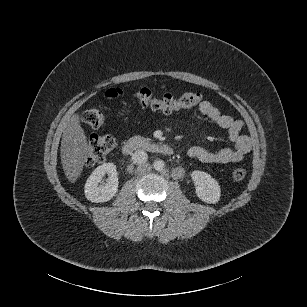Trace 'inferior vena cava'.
Instances as JSON below:
<instances>
[{"label": "inferior vena cava", "instance_id": "1", "mask_svg": "<svg viewBox=\"0 0 307 307\" xmlns=\"http://www.w3.org/2000/svg\"><path fill=\"white\" fill-rule=\"evenodd\" d=\"M148 159V155L143 150H136L132 155V161L135 164H143L146 163Z\"/></svg>", "mask_w": 307, "mask_h": 307}]
</instances>
